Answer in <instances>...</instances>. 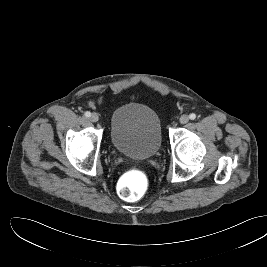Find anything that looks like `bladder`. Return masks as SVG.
Listing matches in <instances>:
<instances>
[{
  "label": "bladder",
  "instance_id": "obj_1",
  "mask_svg": "<svg viewBox=\"0 0 267 267\" xmlns=\"http://www.w3.org/2000/svg\"><path fill=\"white\" fill-rule=\"evenodd\" d=\"M110 141L123 155L141 160L154 157L162 145L161 122L157 113L142 103L120 105L110 118Z\"/></svg>",
  "mask_w": 267,
  "mask_h": 267
}]
</instances>
